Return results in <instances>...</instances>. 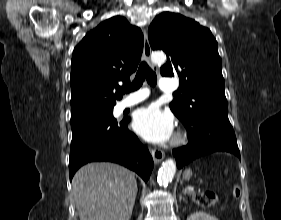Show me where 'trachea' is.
I'll return each mask as SVG.
<instances>
[{
	"mask_svg": "<svg viewBox=\"0 0 281 220\" xmlns=\"http://www.w3.org/2000/svg\"><path fill=\"white\" fill-rule=\"evenodd\" d=\"M145 79H147V82L151 86H155L157 83V76L155 72L148 66L146 62H142L133 82L128 87L120 88V93L124 94L136 91L142 86Z\"/></svg>",
	"mask_w": 281,
	"mask_h": 220,
	"instance_id": "1",
	"label": "trachea"
}]
</instances>
